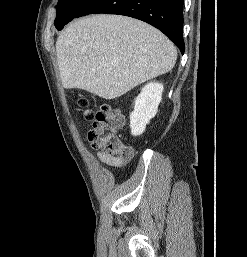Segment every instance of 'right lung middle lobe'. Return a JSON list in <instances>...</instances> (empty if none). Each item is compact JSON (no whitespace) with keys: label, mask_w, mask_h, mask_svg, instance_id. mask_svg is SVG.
<instances>
[{"label":"right lung middle lobe","mask_w":247,"mask_h":257,"mask_svg":"<svg viewBox=\"0 0 247 257\" xmlns=\"http://www.w3.org/2000/svg\"><path fill=\"white\" fill-rule=\"evenodd\" d=\"M92 0H59L55 27H63L74 19Z\"/></svg>","instance_id":"dd1d6c3e"}]
</instances>
